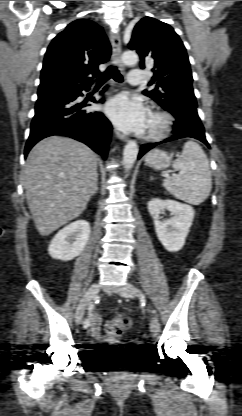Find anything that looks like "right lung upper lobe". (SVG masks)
Listing matches in <instances>:
<instances>
[{
	"instance_id": "1",
	"label": "right lung upper lobe",
	"mask_w": 242,
	"mask_h": 416,
	"mask_svg": "<svg viewBox=\"0 0 242 416\" xmlns=\"http://www.w3.org/2000/svg\"><path fill=\"white\" fill-rule=\"evenodd\" d=\"M110 55L102 27L86 19L70 23L47 49L38 96L90 86L92 78L101 74L98 65L107 62Z\"/></svg>"
}]
</instances>
